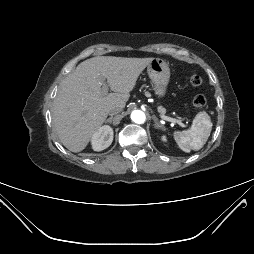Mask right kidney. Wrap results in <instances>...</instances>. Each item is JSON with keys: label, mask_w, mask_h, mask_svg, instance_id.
Instances as JSON below:
<instances>
[{"label": "right kidney", "mask_w": 254, "mask_h": 254, "mask_svg": "<svg viewBox=\"0 0 254 254\" xmlns=\"http://www.w3.org/2000/svg\"><path fill=\"white\" fill-rule=\"evenodd\" d=\"M113 141V129L110 126L99 128L91 139L92 148L95 151H101L108 148Z\"/></svg>", "instance_id": "obj_1"}]
</instances>
